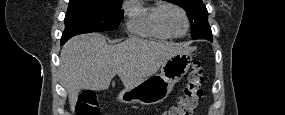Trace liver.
<instances>
[{"instance_id": "6515ba94", "label": "liver", "mask_w": 285, "mask_h": 115, "mask_svg": "<svg viewBox=\"0 0 285 115\" xmlns=\"http://www.w3.org/2000/svg\"><path fill=\"white\" fill-rule=\"evenodd\" d=\"M195 47L140 38L108 45L104 36L88 34L70 39L60 54V72L73 111L78 94L85 90H106L116 74L125 88H133L154 75L162 64Z\"/></svg>"}]
</instances>
